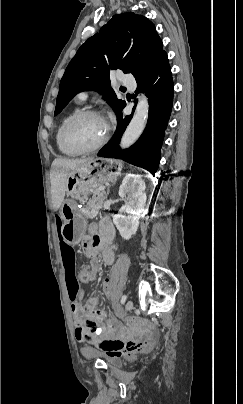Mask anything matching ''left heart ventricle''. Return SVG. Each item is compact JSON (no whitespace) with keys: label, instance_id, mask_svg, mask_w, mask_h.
I'll list each match as a JSON object with an SVG mask.
<instances>
[{"label":"left heart ventricle","instance_id":"left-heart-ventricle-1","mask_svg":"<svg viewBox=\"0 0 243 404\" xmlns=\"http://www.w3.org/2000/svg\"><path fill=\"white\" fill-rule=\"evenodd\" d=\"M68 135L81 145L94 146L105 135L102 119L95 116L82 117L70 126Z\"/></svg>","mask_w":243,"mask_h":404}]
</instances>
